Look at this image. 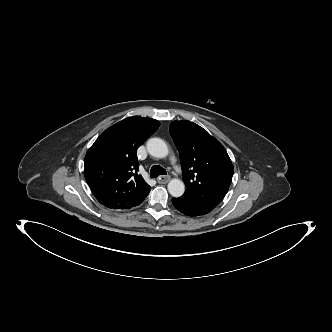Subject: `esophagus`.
Returning <instances> with one entry per match:
<instances>
[{"label":"esophagus","instance_id":"34e87169","mask_svg":"<svg viewBox=\"0 0 332 332\" xmlns=\"http://www.w3.org/2000/svg\"><path fill=\"white\" fill-rule=\"evenodd\" d=\"M170 180V176L168 175H161L158 178L159 183H167Z\"/></svg>","mask_w":332,"mask_h":332}]
</instances>
